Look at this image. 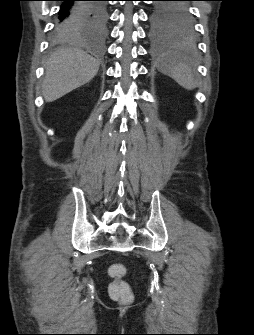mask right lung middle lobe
Returning a JSON list of instances; mask_svg holds the SVG:
<instances>
[{
    "label": "right lung middle lobe",
    "mask_w": 254,
    "mask_h": 335,
    "mask_svg": "<svg viewBox=\"0 0 254 335\" xmlns=\"http://www.w3.org/2000/svg\"><path fill=\"white\" fill-rule=\"evenodd\" d=\"M95 7L99 11V21L93 25L91 32H83L79 30L77 25H74L73 28L67 32H62L59 34L52 35L53 40H65L74 36L79 35H92V34H101L105 31V25L107 20V11H106V4L104 2H97L94 4Z\"/></svg>",
    "instance_id": "1"
}]
</instances>
